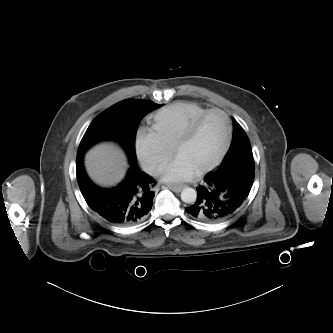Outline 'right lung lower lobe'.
Instances as JSON below:
<instances>
[{
	"instance_id": "right-lung-lower-lobe-1",
	"label": "right lung lower lobe",
	"mask_w": 333,
	"mask_h": 333,
	"mask_svg": "<svg viewBox=\"0 0 333 333\" xmlns=\"http://www.w3.org/2000/svg\"><path fill=\"white\" fill-rule=\"evenodd\" d=\"M83 155L77 154L76 172L81 193L89 207L108 222L129 226L143 220L153 205L154 180L139 170L136 160H129L125 179L112 189L93 184L83 166Z\"/></svg>"
}]
</instances>
